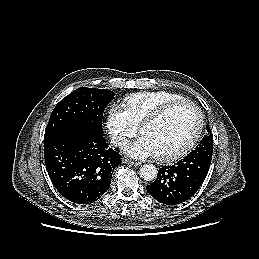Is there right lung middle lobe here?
<instances>
[{"mask_svg":"<svg viewBox=\"0 0 259 259\" xmlns=\"http://www.w3.org/2000/svg\"><path fill=\"white\" fill-rule=\"evenodd\" d=\"M114 96L115 93L107 89H76L53 109L45 130L44 142L73 130L103 135V112Z\"/></svg>","mask_w":259,"mask_h":259,"instance_id":"1","label":"right lung middle lobe"}]
</instances>
